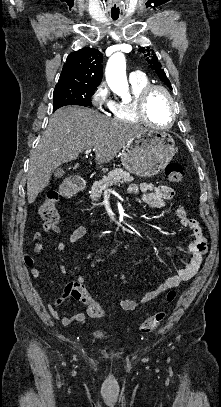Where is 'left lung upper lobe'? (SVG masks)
<instances>
[{"mask_svg": "<svg viewBox=\"0 0 221 407\" xmlns=\"http://www.w3.org/2000/svg\"><path fill=\"white\" fill-rule=\"evenodd\" d=\"M139 52L143 53L144 56L146 57L147 62L150 64V68H152L157 75L159 76V78L167 85L170 87V89H172L170 81L168 80V78L166 77V74L164 72V70L162 69V65L160 64V62L158 61L154 51L150 48H145V47H141L139 49Z\"/></svg>", "mask_w": 221, "mask_h": 407, "instance_id": "1", "label": "left lung upper lobe"}]
</instances>
